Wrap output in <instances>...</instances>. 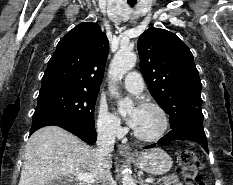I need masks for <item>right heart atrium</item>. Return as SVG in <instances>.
Returning <instances> with one entry per match:
<instances>
[{
  "label": "right heart atrium",
  "mask_w": 233,
  "mask_h": 185,
  "mask_svg": "<svg viewBox=\"0 0 233 185\" xmlns=\"http://www.w3.org/2000/svg\"><path fill=\"white\" fill-rule=\"evenodd\" d=\"M96 130L98 134L108 138H118L124 133L119 119L105 105H99L97 109Z\"/></svg>",
  "instance_id": "obj_1"
}]
</instances>
